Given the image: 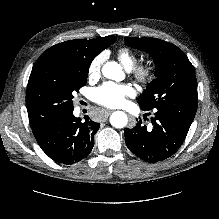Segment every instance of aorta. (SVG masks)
Segmentation results:
<instances>
[{
  "label": "aorta",
  "instance_id": "aorta-1",
  "mask_svg": "<svg viewBox=\"0 0 219 219\" xmlns=\"http://www.w3.org/2000/svg\"><path fill=\"white\" fill-rule=\"evenodd\" d=\"M102 74L108 79L116 80L121 76L122 68L115 61H110L103 65ZM127 122V115L123 111H115L110 116V123L115 128H124Z\"/></svg>",
  "mask_w": 219,
  "mask_h": 219
}]
</instances>
